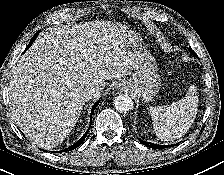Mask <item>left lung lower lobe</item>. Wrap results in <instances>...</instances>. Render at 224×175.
Segmentation results:
<instances>
[{"instance_id":"0a47b994","label":"left lung lower lobe","mask_w":224,"mask_h":175,"mask_svg":"<svg viewBox=\"0 0 224 175\" xmlns=\"http://www.w3.org/2000/svg\"><path fill=\"white\" fill-rule=\"evenodd\" d=\"M143 145L149 147V148H155V149H162V148H167V147H172L174 145H158L150 142H146L143 140H139Z\"/></svg>"}]
</instances>
